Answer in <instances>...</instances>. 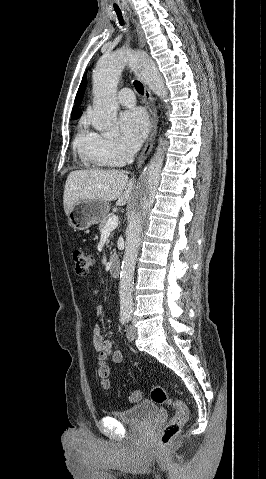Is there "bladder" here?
<instances>
[{"label": "bladder", "mask_w": 266, "mask_h": 479, "mask_svg": "<svg viewBox=\"0 0 266 479\" xmlns=\"http://www.w3.org/2000/svg\"><path fill=\"white\" fill-rule=\"evenodd\" d=\"M157 414L158 406L153 401H142L127 409L110 412V416L126 424H142Z\"/></svg>", "instance_id": "obj_1"}]
</instances>
